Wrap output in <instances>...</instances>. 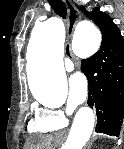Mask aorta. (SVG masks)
Listing matches in <instances>:
<instances>
[{
  "label": "aorta",
  "mask_w": 124,
  "mask_h": 149,
  "mask_svg": "<svg viewBox=\"0 0 124 149\" xmlns=\"http://www.w3.org/2000/svg\"><path fill=\"white\" fill-rule=\"evenodd\" d=\"M65 28L61 19L52 17L33 28L28 46L29 87L35 99L44 104L64 100L67 80L63 66ZM101 43L99 29L90 21L78 23L72 48L87 56L96 52ZM95 116L89 107L76 113L65 149H83L94 128Z\"/></svg>",
  "instance_id": "aorta-1"
}]
</instances>
